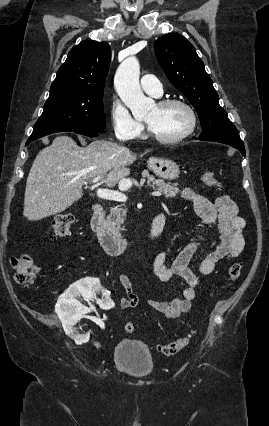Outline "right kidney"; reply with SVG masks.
<instances>
[{"label":"right kidney","mask_w":269,"mask_h":426,"mask_svg":"<svg viewBox=\"0 0 269 426\" xmlns=\"http://www.w3.org/2000/svg\"><path fill=\"white\" fill-rule=\"evenodd\" d=\"M106 286H101L98 279L86 278L77 281L70 286L58 299L55 306L56 313L62 322L64 331L75 342L82 344L89 340L90 335H77L74 325L82 317L89 313L92 308L85 307L79 298L82 296L86 300L96 298V295H104L105 298L97 300L98 309L100 311H113L115 305L111 300Z\"/></svg>","instance_id":"1"}]
</instances>
